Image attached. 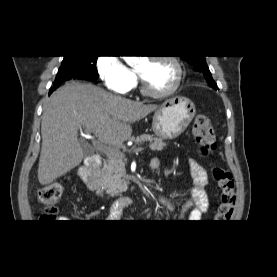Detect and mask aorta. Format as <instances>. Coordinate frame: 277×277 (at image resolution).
Segmentation results:
<instances>
[{
  "label": "aorta",
  "instance_id": "762f6f07",
  "mask_svg": "<svg viewBox=\"0 0 277 277\" xmlns=\"http://www.w3.org/2000/svg\"><path fill=\"white\" fill-rule=\"evenodd\" d=\"M125 60L128 63H135L138 60L137 56H125Z\"/></svg>",
  "mask_w": 277,
  "mask_h": 277
}]
</instances>
